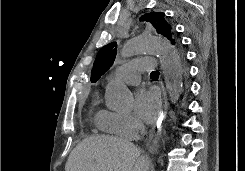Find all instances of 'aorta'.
<instances>
[{
	"label": "aorta",
	"mask_w": 245,
	"mask_h": 171,
	"mask_svg": "<svg viewBox=\"0 0 245 171\" xmlns=\"http://www.w3.org/2000/svg\"><path fill=\"white\" fill-rule=\"evenodd\" d=\"M143 53H154L159 57L171 100L176 101L182 90V67L177 52L172 45L161 38L137 36L126 41L122 57L128 58ZM106 106L115 111H129L133 105L131 91L120 82L107 85L105 92Z\"/></svg>",
	"instance_id": "1"
}]
</instances>
